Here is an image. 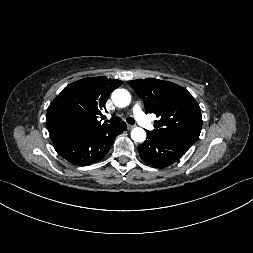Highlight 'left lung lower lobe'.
I'll return each instance as SVG.
<instances>
[{
	"label": "left lung lower lobe",
	"mask_w": 253,
	"mask_h": 253,
	"mask_svg": "<svg viewBox=\"0 0 253 253\" xmlns=\"http://www.w3.org/2000/svg\"><path fill=\"white\" fill-rule=\"evenodd\" d=\"M147 140L138 146L141 158L155 168L167 167L178 161L191 147L184 143L155 136L146 131Z\"/></svg>",
	"instance_id": "0a47b994"
}]
</instances>
